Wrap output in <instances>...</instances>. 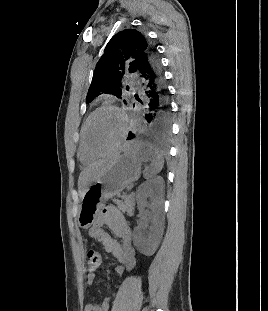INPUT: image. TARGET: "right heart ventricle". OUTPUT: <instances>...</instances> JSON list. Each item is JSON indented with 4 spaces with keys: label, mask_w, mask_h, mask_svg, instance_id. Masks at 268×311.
<instances>
[{
    "label": "right heart ventricle",
    "mask_w": 268,
    "mask_h": 311,
    "mask_svg": "<svg viewBox=\"0 0 268 311\" xmlns=\"http://www.w3.org/2000/svg\"><path fill=\"white\" fill-rule=\"evenodd\" d=\"M78 155H79V158H80L81 162L84 163V164H90V163H92L95 160L94 157H92L91 155H89L86 152V150H85V148L83 146V143H82V138H81L80 144H79Z\"/></svg>",
    "instance_id": "right-heart-ventricle-1"
}]
</instances>
